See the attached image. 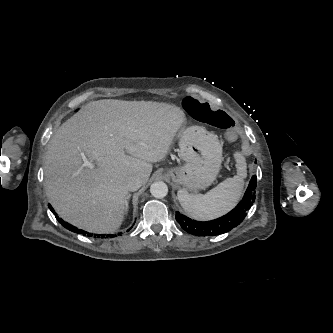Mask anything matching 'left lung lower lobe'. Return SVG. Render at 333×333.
<instances>
[{"mask_svg": "<svg viewBox=\"0 0 333 333\" xmlns=\"http://www.w3.org/2000/svg\"><path fill=\"white\" fill-rule=\"evenodd\" d=\"M256 181L257 177L252 176L243 199L227 215L212 221L201 222L192 220L177 212V222L186 232L196 236H215L229 232L243 221L247 211L253 205L255 201Z\"/></svg>", "mask_w": 333, "mask_h": 333, "instance_id": "1", "label": "left lung lower lobe"}]
</instances>
